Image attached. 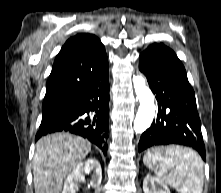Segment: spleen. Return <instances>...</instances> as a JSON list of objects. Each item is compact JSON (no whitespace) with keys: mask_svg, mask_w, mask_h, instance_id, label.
Returning <instances> with one entry per match:
<instances>
[{"mask_svg":"<svg viewBox=\"0 0 221 193\" xmlns=\"http://www.w3.org/2000/svg\"><path fill=\"white\" fill-rule=\"evenodd\" d=\"M143 162L177 192L202 193L203 161L194 150L179 146H152L144 155Z\"/></svg>","mask_w":221,"mask_h":193,"instance_id":"3e777b00","label":"spleen"}]
</instances>
